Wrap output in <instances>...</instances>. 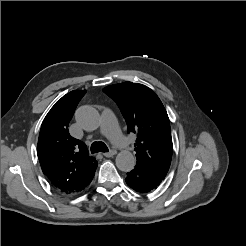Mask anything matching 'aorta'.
I'll use <instances>...</instances> for the list:
<instances>
[{"mask_svg":"<svg viewBox=\"0 0 246 246\" xmlns=\"http://www.w3.org/2000/svg\"><path fill=\"white\" fill-rule=\"evenodd\" d=\"M77 123L85 130L92 131L98 128L100 116L98 111L91 106L80 107L75 114ZM136 163L134 155L129 151H121L116 156V166L124 172L131 171Z\"/></svg>","mask_w":246,"mask_h":246,"instance_id":"obj_1","label":"aorta"}]
</instances>
